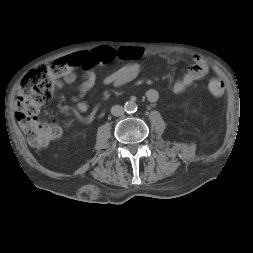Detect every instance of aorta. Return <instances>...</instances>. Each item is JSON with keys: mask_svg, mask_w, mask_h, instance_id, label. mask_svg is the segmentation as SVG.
Instances as JSON below:
<instances>
[{"mask_svg": "<svg viewBox=\"0 0 253 253\" xmlns=\"http://www.w3.org/2000/svg\"><path fill=\"white\" fill-rule=\"evenodd\" d=\"M124 108L127 113H134L137 110V104L134 101H128Z\"/></svg>", "mask_w": 253, "mask_h": 253, "instance_id": "762f6f07", "label": "aorta"}]
</instances>
